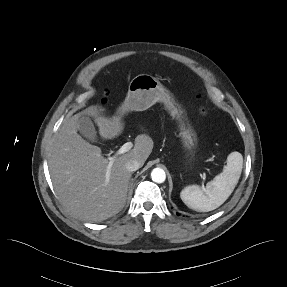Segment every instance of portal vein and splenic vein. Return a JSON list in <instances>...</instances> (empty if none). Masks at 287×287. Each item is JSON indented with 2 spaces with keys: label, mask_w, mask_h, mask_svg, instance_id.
Segmentation results:
<instances>
[{
  "label": "portal vein and splenic vein",
  "mask_w": 287,
  "mask_h": 287,
  "mask_svg": "<svg viewBox=\"0 0 287 287\" xmlns=\"http://www.w3.org/2000/svg\"><path fill=\"white\" fill-rule=\"evenodd\" d=\"M132 147H133L132 142H126V143L123 144V145L117 150V152L110 158V162H109V165H108V170H107V173H106V176H107V177H109V175H110V169H111V166H112V164H113L114 159L117 158L118 156L122 155V154H125V153L128 152ZM202 186L204 187V184H202Z\"/></svg>",
  "instance_id": "portal-vein-and-splenic-vein-1"
}]
</instances>
